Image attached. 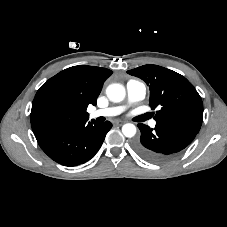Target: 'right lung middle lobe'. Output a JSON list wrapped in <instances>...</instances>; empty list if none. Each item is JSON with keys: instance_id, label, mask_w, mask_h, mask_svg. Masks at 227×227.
<instances>
[{"instance_id": "obj_1", "label": "right lung middle lobe", "mask_w": 227, "mask_h": 227, "mask_svg": "<svg viewBox=\"0 0 227 227\" xmlns=\"http://www.w3.org/2000/svg\"><path fill=\"white\" fill-rule=\"evenodd\" d=\"M36 116L44 126H56L64 123L68 116L67 108L53 98L44 99L38 106Z\"/></svg>"}]
</instances>
